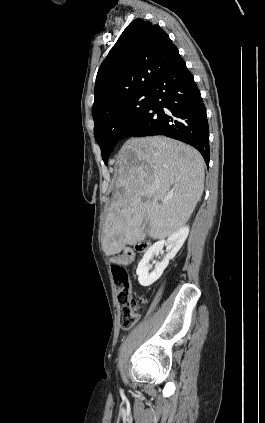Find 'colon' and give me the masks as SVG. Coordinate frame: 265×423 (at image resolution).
I'll return each mask as SVG.
<instances>
[{"mask_svg":"<svg viewBox=\"0 0 265 423\" xmlns=\"http://www.w3.org/2000/svg\"><path fill=\"white\" fill-rule=\"evenodd\" d=\"M148 247L149 243L140 242L134 248H126L112 258V275L118 290L117 300L119 303L120 326L123 329H130L138 319V303L132 293L126 265L134 260L136 252H144Z\"/></svg>","mask_w":265,"mask_h":423,"instance_id":"colon-1","label":"colon"}]
</instances>
